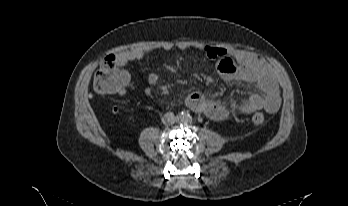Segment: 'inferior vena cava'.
I'll use <instances>...</instances> for the list:
<instances>
[{
  "mask_svg": "<svg viewBox=\"0 0 348 206\" xmlns=\"http://www.w3.org/2000/svg\"><path fill=\"white\" fill-rule=\"evenodd\" d=\"M175 121L176 117L172 112H168L162 117V123L165 125H172L175 123Z\"/></svg>",
  "mask_w": 348,
  "mask_h": 206,
  "instance_id": "obj_1",
  "label": "inferior vena cava"
}]
</instances>
